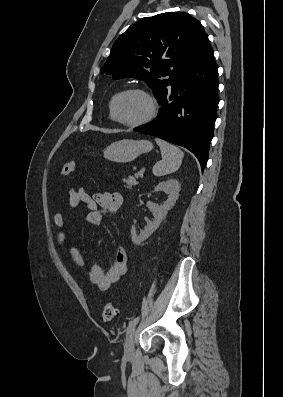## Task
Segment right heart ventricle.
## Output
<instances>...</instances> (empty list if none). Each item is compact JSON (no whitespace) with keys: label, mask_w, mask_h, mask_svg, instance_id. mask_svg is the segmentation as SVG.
Returning <instances> with one entry per match:
<instances>
[{"label":"right heart ventricle","mask_w":283,"mask_h":397,"mask_svg":"<svg viewBox=\"0 0 283 397\" xmlns=\"http://www.w3.org/2000/svg\"><path fill=\"white\" fill-rule=\"evenodd\" d=\"M113 97H114V96H113ZM113 97H112V98H113ZM111 100H112V99H111ZM110 104H111V102H110ZM110 117L112 118V115H111V110H110ZM112 119H113V118H112Z\"/></svg>","instance_id":"right-heart-ventricle-1"}]
</instances>
